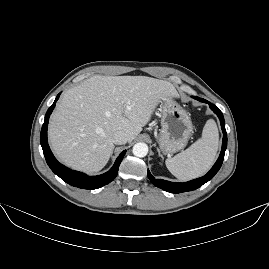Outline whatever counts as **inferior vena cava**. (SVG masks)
Returning <instances> with one entry per match:
<instances>
[{
  "mask_svg": "<svg viewBox=\"0 0 269 269\" xmlns=\"http://www.w3.org/2000/svg\"><path fill=\"white\" fill-rule=\"evenodd\" d=\"M128 141V135L122 130L115 131L112 135V142L117 145L126 144Z\"/></svg>",
  "mask_w": 269,
  "mask_h": 269,
  "instance_id": "obj_1",
  "label": "inferior vena cava"
}]
</instances>
